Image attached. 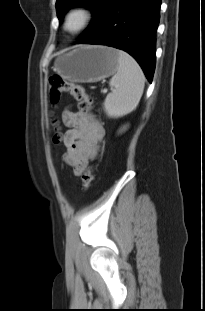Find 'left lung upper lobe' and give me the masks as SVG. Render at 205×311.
Returning <instances> with one entry per match:
<instances>
[{
    "label": "left lung upper lobe",
    "instance_id": "1",
    "mask_svg": "<svg viewBox=\"0 0 205 311\" xmlns=\"http://www.w3.org/2000/svg\"><path fill=\"white\" fill-rule=\"evenodd\" d=\"M113 1L114 0H57V16L61 22L64 14L70 7H86L92 9L94 19L91 21L89 28L84 31L83 36H85L104 19Z\"/></svg>",
    "mask_w": 205,
    "mask_h": 311
}]
</instances>
